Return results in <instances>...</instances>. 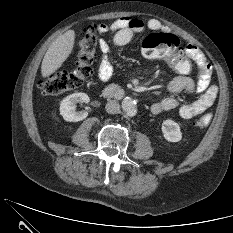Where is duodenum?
<instances>
[{"label": "duodenum", "instance_id": "1", "mask_svg": "<svg viewBox=\"0 0 233 233\" xmlns=\"http://www.w3.org/2000/svg\"><path fill=\"white\" fill-rule=\"evenodd\" d=\"M102 95L107 99H115L122 97L124 95V90L117 86H109L103 90Z\"/></svg>", "mask_w": 233, "mask_h": 233}]
</instances>
